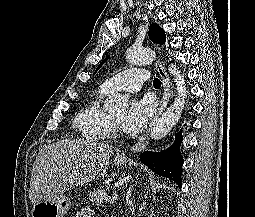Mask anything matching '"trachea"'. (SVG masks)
<instances>
[{"label": "trachea", "mask_w": 255, "mask_h": 217, "mask_svg": "<svg viewBox=\"0 0 255 217\" xmlns=\"http://www.w3.org/2000/svg\"><path fill=\"white\" fill-rule=\"evenodd\" d=\"M153 85L155 88H160L161 87V81L158 78H155L153 81Z\"/></svg>", "instance_id": "trachea-1"}]
</instances>
